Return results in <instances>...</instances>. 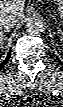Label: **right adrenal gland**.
I'll return each mask as SVG.
<instances>
[{"instance_id":"1","label":"right adrenal gland","mask_w":63,"mask_h":107,"mask_svg":"<svg viewBox=\"0 0 63 107\" xmlns=\"http://www.w3.org/2000/svg\"><path fill=\"white\" fill-rule=\"evenodd\" d=\"M5 35H3V37H4ZM0 44H1V46H2V44H3V39H2V41L0 40Z\"/></svg>"}]
</instances>
